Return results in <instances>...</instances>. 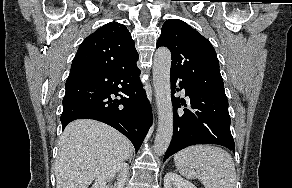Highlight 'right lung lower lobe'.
<instances>
[{"label":"right lung lower lobe","mask_w":292,"mask_h":188,"mask_svg":"<svg viewBox=\"0 0 292 188\" xmlns=\"http://www.w3.org/2000/svg\"><path fill=\"white\" fill-rule=\"evenodd\" d=\"M139 75L137 66L122 70L71 71L63 99V129L76 119L98 120L129 138L137 152L152 124L149 101Z\"/></svg>","instance_id":"98d812e1"}]
</instances>
